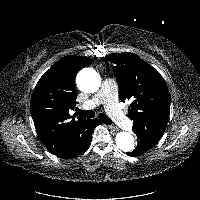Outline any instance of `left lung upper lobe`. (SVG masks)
<instances>
[{
  "mask_svg": "<svg viewBox=\"0 0 200 200\" xmlns=\"http://www.w3.org/2000/svg\"><path fill=\"white\" fill-rule=\"evenodd\" d=\"M105 61L116 64L115 75L121 101H131L127 115L136 135L161 139L170 114V94L160 73L137 55L109 54Z\"/></svg>",
  "mask_w": 200,
  "mask_h": 200,
  "instance_id": "5c2ea615",
  "label": "left lung upper lobe"
}]
</instances>
